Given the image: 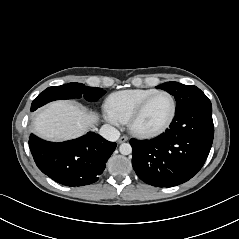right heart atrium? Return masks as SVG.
I'll list each match as a JSON object with an SVG mask.
<instances>
[{
    "label": "right heart atrium",
    "mask_w": 239,
    "mask_h": 239,
    "mask_svg": "<svg viewBox=\"0 0 239 239\" xmlns=\"http://www.w3.org/2000/svg\"><path fill=\"white\" fill-rule=\"evenodd\" d=\"M105 118H106L107 122L110 123L113 126H118L121 123L120 120H118L116 117H114L113 115H111L107 111L105 113Z\"/></svg>",
    "instance_id": "d8ad5b80"
}]
</instances>
